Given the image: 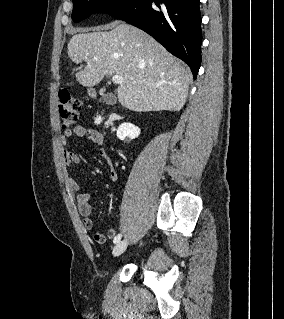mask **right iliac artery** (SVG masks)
Returning <instances> with one entry per match:
<instances>
[{
    "label": "right iliac artery",
    "instance_id": "right-iliac-artery-1",
    "mask_svg": "<svg viewBox=\"0 0 284 319\" xmlns=\"http://www.w3.org/2000/svg\"><path fill=\"white\" fill-rule=\"evenodd\" d=\"M121 237H122V234H118V235L114 238L113 242H114L115 244L118 243V242L120 241Z\"/></svg>",
    "mask_w": 284,
    "mask_h": 319
}]
</instances>
